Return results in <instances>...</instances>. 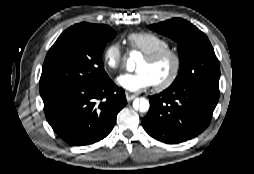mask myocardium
Here are the masks:
<instances>
[{
	"instance_id": "1",
	"label": "myocardium",
	"mask_w": 254,
	"mask_h": 174,
	"mask_svg": "<svg viewBox=\"0 0 254 174\" xmlns=\"http://www.w3.org/2000/svg\"><path fill=\"white\" fill-rule=\"evenodd\" d=\"M166 56H170L172 58L173 68L169 77L165 81L158 84H154V87L157 91H163L168 89L174 84V82L178 78L181 69L180 54L175 49L167 47L159 49L144 56V59L149 63H155Z\"/></svg>"
}]
</instances>
